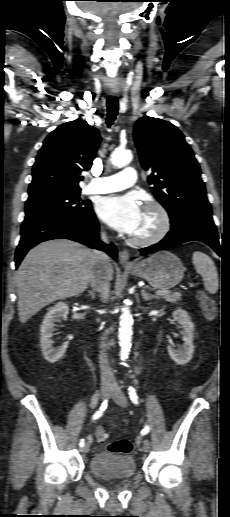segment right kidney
<instances>
[{"mask_svg": "<svg viewBox=\"0 0 230 517\" xmlns=\"http://www.w3.org/2000/svg\"><path fill=\"white\" fill-rule=\"evenodd\" d=\"M68 313V305L66 303L59 302L47 312L41 325L40 343L42 354L44 358L50 363H55L60 360L68 348V342H64L60 347L52 346V336L55 330V323L60 322L62 319H66Z\"/></svg>", "mask_w": 230, "mask_h": 517, "instance_id": "1", "label": "right kidney"}]
</instances>
